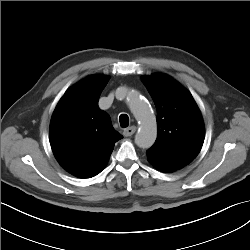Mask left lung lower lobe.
Masks as SVG:
<instances>
[{
	"label": "left lung lower lobe",
	"instance_id": "1",
	"mask_svg": "<svg viewBox=\"0 0 250 250\" xmlns=\"http://www.w3.org/2000/svg\"><path fill=\"white\" fill-rule=\"evenodd\" d=\"M147 159L155 168L162 172H173L183 168L192 161L186 158L162 156L150 151H147Z\"/></svg>",
	"mask_w": 250,
	"mask_h": 250
}]
</instances>
